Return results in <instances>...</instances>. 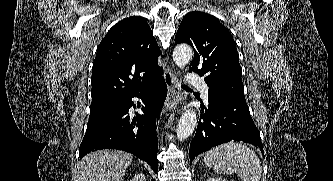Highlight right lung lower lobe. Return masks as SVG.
I'll return each mask as SVG.
<instances>
[{"mask_svg":"<svg viewBox=\"0 0 333 181\" xmlns=\"http://www.w3.org/2000/svg\"><path fill=\"white\" fill-rule=\"evenodd\" d=\"M167 94L162 77L152 87L130 95L98 115L89 118L88 129L80 145L79 156L100 149H119L146 161L157 173L156 125ZM133 97L143 100V115H129L135 107Z\"/></svg>","mask_w":333,"mask_h":181,"instance_id":"1","label":"right lung lower lobe"}]
</instances>
